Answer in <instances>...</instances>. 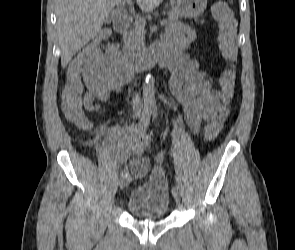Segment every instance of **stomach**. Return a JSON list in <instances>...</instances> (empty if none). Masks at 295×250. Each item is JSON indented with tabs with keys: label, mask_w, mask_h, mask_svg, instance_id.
<instances>
[{
	"label": "stomach",
	"mask_w": 295,
	"mask_h": 250,
	"mask_svg": "<svg viewBox=\"0 0 295 250\" xmlns=\"http://www.w3.org/2000/svg\"><path fill=\"white\" fill-rule=\"evenodd\" d=\"M172 12L181 17H198L207 7V0H170Z\"/></svg>",
	"instance_id": "obj_1"
}]
</instances>
